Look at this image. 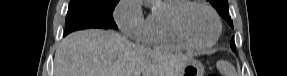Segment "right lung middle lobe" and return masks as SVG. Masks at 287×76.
Masks as SVG:
<instances>
[{
  "label": "right lung middle lobe",
  "instance_id": "obj_1",
  "mask_svg": "<svg viewBox=\"0 0 287 76\" xmlns=\"http://www.w3.org/2000/svg\"><path fill=\"white\" fill-rule=\"evenodd\" d=\"M119 0H71L66 15L64 35L88 29H116L112 12Z\"/></svg>",
  "mask_w": 287,
  "mask_h": 76
}]
</instances>
